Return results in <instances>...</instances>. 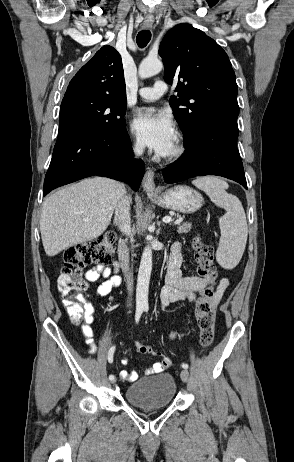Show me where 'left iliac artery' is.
I'll use <instances>...</instances> for the list:
<instances>
[{"mask_svg": "<svg viewBox=\"0 0 294 462\" xmlns=\"http://www.w3.org/2000/svg\"><path fill=\"white\" fill-rule=\"evenodd\" d=\"M144 310L147 312L148 307H146ZM181 366H182L183 369H188V367H189L188 364H185V363H183Z\"/></svg>", "mask_w": 294, "mask_h": 462, "instance_id": "left-iliac-artery-1", "label": "left iliac artery"}]
</instances>
